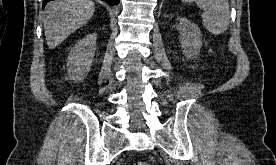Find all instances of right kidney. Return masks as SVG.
I'll return each mask as SVG.
<instances>
[{"instance_id":"1","label":"right kidney","mask_w":276,"mask_h":165,"mask_svg":"<svg viewBox=\"0 0 276 165\" xmlns=\"http://www.w3.org/2000/svg\"><path fill=\"white\" fill-rule=\"evenodd\" d=\"M96 34L86 35L71 49L67 59V73L71 80L82 81L89 73L96 49Z\"/></svg>"}]
</instances>
